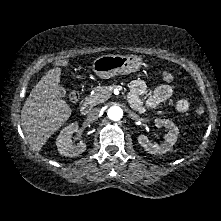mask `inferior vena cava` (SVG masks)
<instances>
[{"instance_id":"obj_1","label":"inferior vena cava","mask_w":221,"mask_h":221,"mask_svg":"<svg viewBox=\"0 0 221 221\" xmlns=\"http://www.w3.org/2000/svg\"><path fill=\"white\" fill-rule=\"evenodd\" d=\"M99 114H100V109L94 108L88 113L87 120L89 122H94L98 118Z\"/></svg>"}]
</instances>
